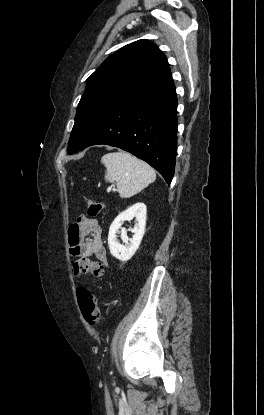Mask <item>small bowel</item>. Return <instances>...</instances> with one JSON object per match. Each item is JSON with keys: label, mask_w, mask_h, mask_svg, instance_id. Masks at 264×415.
Wrapping results in <instances>:
<instances>
[{"label": "small bowel", "mask_w": 264, "mask_h": 415, "mask_svg": "<svg viewBox=\"0 0 264 415\" xmlns=\"http://www.w3.org/2000/svg\"><path fill=\"white\" fill-rule=\"evenodd\" d=\"M68 241L71 253L85 258L95 256L102 268L107 264L108 257L102 241V230L96 220L78 218L70 226ZM102 273L103 271L100 275Z\"/></svg>", "instance_id": "1"}]
</instances>
